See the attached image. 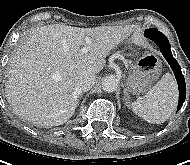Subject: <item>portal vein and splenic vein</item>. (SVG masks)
<instances>
[{
  "label": "portal vein and splenic vein",
  "mask_w": 190,
  "mask_h": 165,
  "mask_svg": "<svg viewBox=\"0 0 190 165\" xmlns=\"http://www.w3.org/2000/svg\"><path fill=\"white\" fill-rule=\"evenodd\" d=\"M86 42H87L88 46L81 49L82 53H87L89 51V49H90L89 45L92 43L91 38H89V37L86 38Z\"/></svg>",
  "instance_id": "18ae733b"
}]
</instances>
